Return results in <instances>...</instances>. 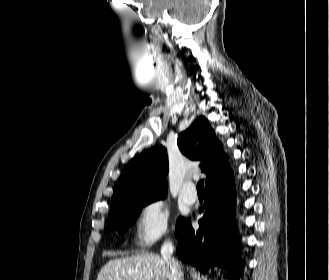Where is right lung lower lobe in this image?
I'll use <instances>...</instances> for the list:
<instances>
[{"label":"right lung lower lobe","mask_w":329,"mask_h":280,"mask_svg":"<svg viewBox=\"0 0 329 280\" xmlns=\"http://www.w3.org/2000/svg\"><path fill=\"white\" fill-rule=\"evenodd\" d=\"M235 185L230 169L217 175L206 184L205 201L200 208V228L195 231L184 219L176 234L181 243L177 254L182 261L206 272L211 266L231 267L229 278H239L243 262L239 261L238 236L234 227Z\"/></svg>","instance_id":"right-lung-lower-lobe-1"}]
</instances>
